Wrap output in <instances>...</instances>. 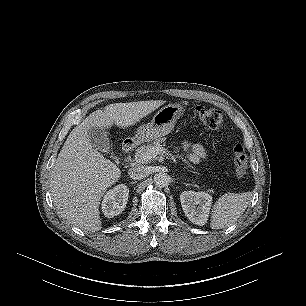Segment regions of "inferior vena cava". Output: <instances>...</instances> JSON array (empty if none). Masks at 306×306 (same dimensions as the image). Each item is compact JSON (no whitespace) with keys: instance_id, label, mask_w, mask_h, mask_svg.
<instances>
[{"instance_id":"1","label":"inferior vena cava","mask_w":306,"mask_h":306,"mask_svg":"<svg viewBox=\"0 0 306 306\" xmlns=\"http://www.w3.org/2000/svg\"><path fill=\"white\" fill-rule=\"evenodd\" d=\"M149 174V169L143 165H135L129 169L128 175L133 180H140Z\"/></svg>"}]
</instances>
